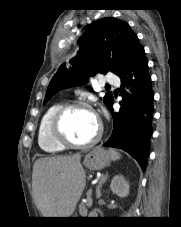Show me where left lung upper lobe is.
<instances>
[{
  "instance_id": "5c2ea615",
  "label": "left lung upper lobe",
  "mask_w": 181,
  "mask_h": 227,
  "mask_svg": "<svg viewBox=\"0 0 181 227\" xmlns=\"http://www.w3.org/2000/svg\"><path fill=\"white\" fill-rule=\"evenodd\" d=\"M78 43L77 55L67 67L63 63L50 81L44 104L59 90L83 85L97 73L111 71L119 76L139 40L128 23L106 17L92 23ZM112 100L107 92L103 102L108 107Z\"/></svg>"
}]
</instances>
